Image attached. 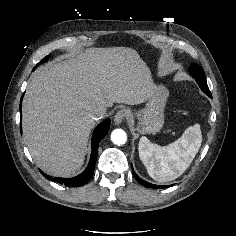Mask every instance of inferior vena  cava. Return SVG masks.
<instances>
[{
    "instance_id": "1",
    "label": "inferior vena cava",
    "mask_w": 236,
    "mask_h": 236,
    "mask_svg": "<svg viewBox=\"0 0 236 236\" xmlns=\"http://www.w3.org/2000/svg\"><path fill=\"white\" fill-rule=\"evenodd\" d=\"M106 115V109L104 107H94L90 110V117L94 120L102 119Z\"/></svg>"
}]
</instances>
